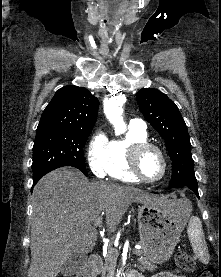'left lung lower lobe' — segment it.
I'll return each mask as SVG.
<instances>
[{
    "label": "left lung lower lobe",
    "mask_w": 221,
    "mask_h": 277,
    "mask_svg": "<svg viewBox=\"0 0 221 277\" xmlns=\"http://www.w3.org/2000/svg\"><path fill=\"white\" fill-rule=\"evenodd\" d=\"M187 188L191 189L197 195V197L199 198L197 185L188 186Z\"/></svg>",
    "instance_id": "1"
}]
</instances>
